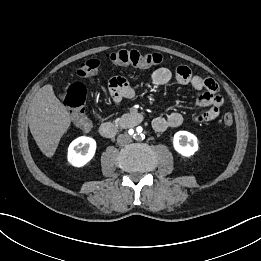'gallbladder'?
<instances>
[{"instance_id":"1","label":"gallbladder","mask_w":261,"mask_h":261,"mask_svg":"<svg viewBox=\"0 0 261 261\" xmlns=\"http://www.w3.org/2000/svg\"><path fill=\"white\" fill-rule=\"evenodd\" d=\"M60 98H62V99H63V98H64V95H63V94H62V95H60Z\"/></svg>"}]
</instances>
